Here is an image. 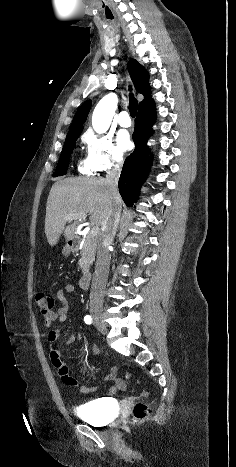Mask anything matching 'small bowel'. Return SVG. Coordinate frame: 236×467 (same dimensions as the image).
Masks as SVG:
<instances>
[{
	"instance_id": "c3829d8e",
	"label": "small bowel",
	"mask_w": 236,
	"mask_h": 467,
	"mask_svg": "<svg viewBox=\"0 0 236 467\" xmlns=\"http://www.w3.org/2000/svg\"><path fill=\"white\" fill-rule=\"evenodd\" d=\"M76 292V288L73 284H67L64 289H60L56 293V298L61 303V306L53 312H49L47 314H43L44 323L46 326H51L55 322L64 323L68 318V311L70 309V303L67 299L66 294H74ZM60 336V331L57 329H52L48 332L47 339L48 342L52 345L56 342V340ZM76 340V335L71 334L68 338L66 343L68 345L73 344ZM94 353H98V349L96 347L93 348ZM50 359L52 365L57 369V373L59 378L67 385L71 386H78V380L71 374L69 367L67 364L62 360L61 352L51 347L50 349ZM107 381H112L114 384L108 388L109 394H115L118 390H121L124 387V383L121 379L117 376V368L116 366L112 365L109 369V373L105 377ZM80 390L84 394L91 393L96 390L95 387L91 386H81Z\"/></svg>"
}]
</instances>
